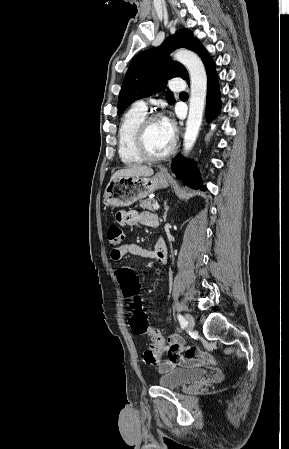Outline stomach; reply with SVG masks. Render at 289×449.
I'll list each match as a JSON object with an SVG mask.
<instances>
[{
	"instance_id": "1",
	"label": "stomach",
	"mask_w": 289,
	"mask_h": 449,
	"mask_svg": "<svg viewBox=\"0 0 289 449\" xmlns=\"http://www.w3.org/2000/svg\"><path fill=\"white\" fill-rule=\"evenodd\" d=\"M168 176L159 172L153 177H118L106 186L104 200L112 207H126L155 190L168 187Z\"/></svg>"
}]
</instances>
